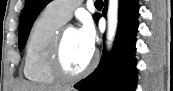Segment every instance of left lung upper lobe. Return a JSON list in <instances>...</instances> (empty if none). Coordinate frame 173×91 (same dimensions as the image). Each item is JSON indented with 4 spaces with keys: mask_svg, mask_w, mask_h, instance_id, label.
<instances>
[{
    "mask_svg": "<svg viewBox=\"0 0 173 91\" xmlns=\"http://www.w3.org/2000/svg\"><path fill=\"white\" fill-rule=\"evenodd\" d=\"M50 1L51 0H25V7L21 12L19 22V49L25 46L36 17Z\"/></svg>",
    "mask_w": 173,
    "mask_h": 91,
    "instance_id": "5c2ea615",
    "label": "left lung upper lobe"
}]
</instances>
